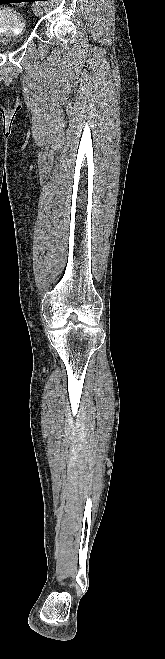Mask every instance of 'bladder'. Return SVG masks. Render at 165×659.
Returning <instances> with one entry per match:
<instances>
[{
    "label": "bladder",
    "mask_w": 165,
    "mask_h": 659,
    "mask_svg": "<svg viewBox=\"0 0 165 659\" xmlns=\"http://www.w3.org/2000/svg\"><path fill=\"white\" fill-rule=\"evenodd\" d=\"M6 12L0 9V41L24 37L26 29L23 22L15 17H5Z\"/></svg>",
    "instance_id": "bladder-1"
}]
</instances>
